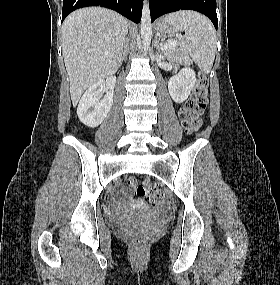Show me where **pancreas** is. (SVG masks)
Listing matches in <instances>:
<instances>
[{
    "label": "pancreas",
    "mask_w": 280,
    "mask_h": 285,
    "mask_svg": "<svg viewBox=\"0 0 280 285\" xmlns=\"http://www.w3.org/2000/svg\"><path fill=\"white\" fill-rule=\"evenodd\" d=\"M169 42H165V44H168ZM164 54L174 61H186L189 62V57L187 54V51L183 48H169L167 50H164Z\"/></svg>",
    "instance_id": "pancreas-1"
}]
</instances>
